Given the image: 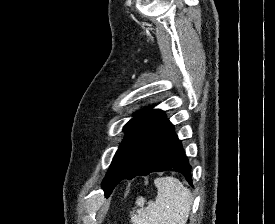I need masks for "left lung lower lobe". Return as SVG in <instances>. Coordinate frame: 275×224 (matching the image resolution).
Here are the masks:
<instances>
[{
    "label": "left lung lower lobe",
    "instance_id": "1",
    "mask_svg": "<svg viewBox=\"0 0 275 224\" xmlns=\"http://www.w3.org/2000/svg\"><path fill=\"white\" fill-rule=\"evenodd\" d=\"M165 170L182 173L192 185L191 166L180 140L174 133L173 125L167 118L147 139L125 175L118 179L109 178L103 182L105 195L109 196L123 179H132L139 175L147 176L152 172Z\"/></svg>",
    "mask_w": 275,
    "mask_h": 224
}]
</instances>
